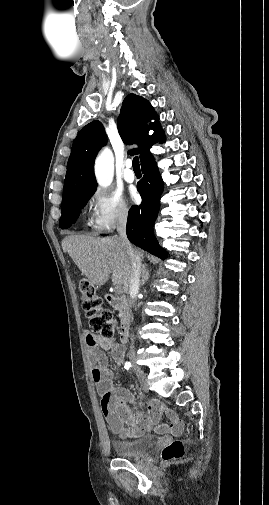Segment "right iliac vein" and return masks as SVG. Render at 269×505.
I'll list each match as a JSON object with an SVG mask.
<instances>
[{"label": "right iliac vein", "instance_id": "1", "mask_svg": "<svg viewBox=\"0 0 269 505\" xmlns=\"http://www.w3.org/2000/svg\"><path fill=\"white\" fill-rule=\"evenodd\" d=\"M131 362L133 364L134 370L136 371L137 375L140 377V382L142 385V389L144 391H147L149 389V386L146 384L148 382L147 376L143 373V371L136 365V359L135 357H131Z\"/></svg>", "mask_w": 269, "mask_h": 505}]
</instances>
